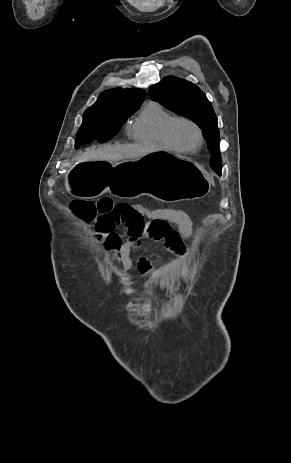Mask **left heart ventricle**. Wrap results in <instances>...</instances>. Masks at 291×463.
I'll return each mask as SVG.
<instances>
[{"label":"left heart ventricle","mask_w":291,"mask_h":463,"mask_svg":"<svg viewBox=\"0 0 291 463\" xmlns=\"http://www.w3.org/2000/svg\"><path fill=\"white\" fill-rule=\"evenodd\" d=\"M174 136L179 144L186 148H192L197 143V134L195 129L186 123H179L176 125L174 129Z\"/></svg>","instance_id":"1"}]
</instances>
